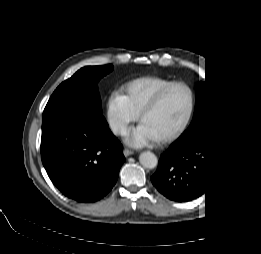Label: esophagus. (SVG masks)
Returning a JSON list of instances; mask_svg holds the SVG:
<instances>
[{"label": "esophagus", "instance_id": "esophagus-1", "mask_svg": "<svg viewBox=\"0 0 261 254\" xmlns=\"http://www.w3.org/2000/svg\"><path fill=\"white\" fill-rule=\"evenodd\" d=\"M123 154H124L125 157H128V156L133 154V151H131L129 149H124Z\"/></svg>", "mask_w": 261, "mask_h": 254}]
</instances>
